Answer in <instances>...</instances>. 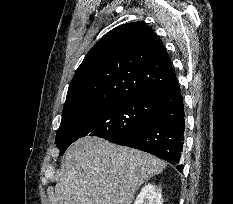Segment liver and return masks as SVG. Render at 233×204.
Returning a JSON list of instances; mask_svg holds the SVG:
<instances>
[{
    "label": "liver",
    "instance_id": "liver-1",
    "mask_svg": "<svg viewBox=\"0 0 233 204\" xmlns=\"http://www.w3.org/2000/svg\"><path fill=\"white\" fill-rule=\"evenodd\" d=\"M165 167L146 152L87 136L67 149L52 204H132L139 187Z\"/></svg>",
    "mask_w": 233,
    "mask_h": 204
}]
</instances>
